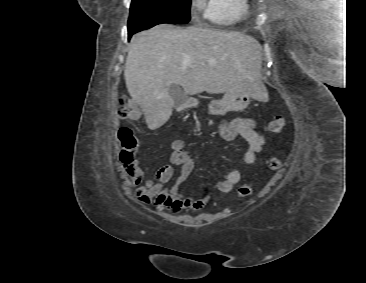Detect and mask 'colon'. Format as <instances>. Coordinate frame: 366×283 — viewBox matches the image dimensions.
<instances>
[{"label": "colon", "instance_id": "obj_1", "mask_svg": "<svg viewBox=\"0 0 366 283\" xmlns=\"http://www.w3.org/2000/svg\"><path fill=\"white\" fill-rule=\"evenodd\" d=\"M118 114L123 119L135 120L139 116V109L137 105L129 100L122 99ZM286 125V120L283 115L274 116L267 124V130L270 133H279L283 130ZM118 137L122 143V150L120 153V159L124 163H130L134 161V155L138 147L137 139L135 138L131 129L124 127L121 128ZM268 168L271 170H279L282 168V162L277 158H270L267 162ZM252 192V184L250 182L243 183L238 191L237 195L240 198H245L249 196Z\"/></svg>", "mask_w": 366, "mask_h": 283}]
</instances>
